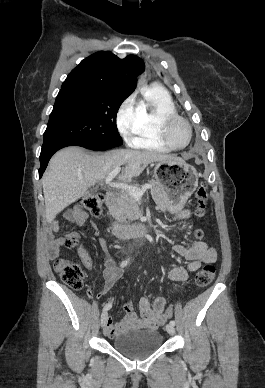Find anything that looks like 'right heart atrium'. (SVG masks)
Masks as SVG:
<instances>
[{"label":"right heart atrium","instance_id":"right-heart-atrium-1","mask_svg":"<svg viewBox=\"0 0 265 388\" xmlns=\"http://www.w3.org/2000/svg\"><path fill=\"white\" fill-rule=\"evenodd\" d=\"M141 108L134 96H130L122 104L118 114V124L121 134L128 139L139 124Z\"/></svg>","mask_w":265,"mask_h":388}]
</instances>
